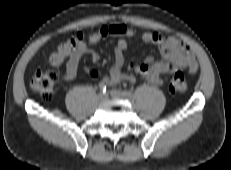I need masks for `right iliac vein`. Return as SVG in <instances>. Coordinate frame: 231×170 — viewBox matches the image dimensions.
I'll list each match as a JSON object with an SVG mask.
<instances>
[{"label":"right iliac vein","mask_w":231,"mask_h":170,"mask_svg":"<svg viewBox=\"0 0 231 170\" xmlns=\"http://www.w3.org/2000/svg\"><path fill=\"white\" fill-rule=\"evenodd\" d=\"M98 99H99V100H104V99H105V95H104L103 93H100V94L98 95Z\"/></svg>","instance_id":"right-iliac-vein-1"}]
</instances>
